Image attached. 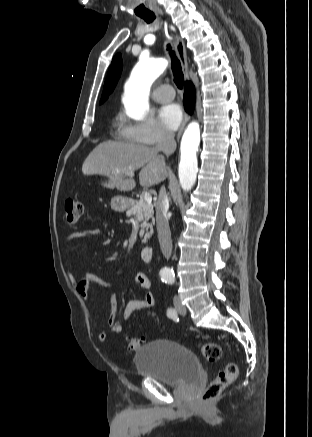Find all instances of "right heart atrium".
<instances>
[{"label":"right heart atrium","mask_w":312,"mask_h":437,"mask_svg":"<svg viewBox=\"0 0 312 437\" xmlns=\"http://www.w3.org/2000/svg\"><path fill=\"white\" fill-rule=\"evenodd\" d=\"M118 134L122 140L143 145L162 144L172 139L171 134L152 116L137 121L121 116Z\"/></svg>","instance_id":"d8ad5b80"}]
</instances>
